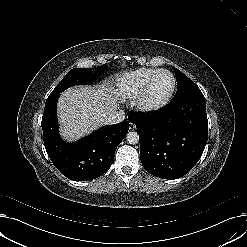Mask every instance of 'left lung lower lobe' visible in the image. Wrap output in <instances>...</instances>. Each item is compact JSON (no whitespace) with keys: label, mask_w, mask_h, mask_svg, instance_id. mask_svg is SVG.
I'll return each mask as SVG.
<instances>
[{"label":"left lung lower lobe","mask_w":247,"mask_h":247,"mask_svg":"<svg viewBox=\"0 0 247 247\" xmlns=\"http://www.w3.org/2000/svg\"><path fill=\"white\" fill-rule=\"evenodd\" d=\"M137 127L145 170L163 179L187 174L200 159L208 138L206 102L202 92L171 101L151 114L130 113Z\"/></svg>","instance_id":"obj_1"}]
</instances>
